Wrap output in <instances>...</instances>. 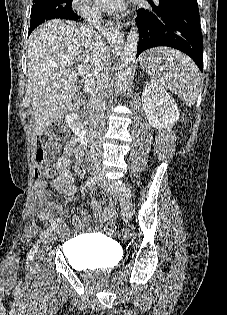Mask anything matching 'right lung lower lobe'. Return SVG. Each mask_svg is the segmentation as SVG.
<instances>
[{"label":"right lung lower lobe","mask_w":227,"mask_h":315,"mask_svg":"<svg viewBox=\"0 0 227 315\" xmlns=\"http://www.w3.org/2000/svg\"><path fill=\"white\" fill-rule=\"evenodd\" d=\"M72 13H73L72 19H70V20H77V19L80 18V17H79L77 14H75L74 12H72Z\"/></svg>","instance_id":"right-lung-lower-lobe-1"}]
</instances>
